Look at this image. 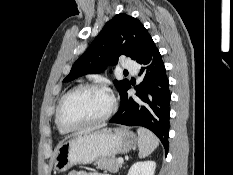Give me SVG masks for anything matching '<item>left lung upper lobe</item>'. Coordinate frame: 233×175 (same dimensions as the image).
I'll use <instances>...</instances> for the list:
<instances>
[{"instance_id": "left-lung-upper-lobe-1", "label": "left lung upper lobe", "mask_w": 233, "mask_h": 175, "mask_svg": "<svg viewBox=\"0 0 233 175\" xmlns=\"http://www.w3.org/2000/svg\"><path fill=\"white\" fill-rule=\"evenodd\" d=\"M153 44L150 34L139 20L120 13L105 24L63 81L68 82L85 74L100 73L108 65H114L122 55L138 62ZM129 83L127 79L114 81L120 95Z\"/></svg>"}]
</instances>
